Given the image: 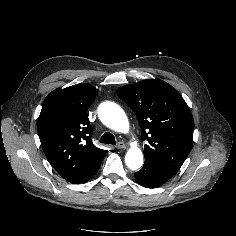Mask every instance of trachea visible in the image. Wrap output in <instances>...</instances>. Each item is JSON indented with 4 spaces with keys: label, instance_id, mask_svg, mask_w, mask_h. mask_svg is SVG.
<instances>
[{
    "label": "trachea",
    "instance_id": "obj_1",
    "mask_svg": "<svg viewBox=\"0 0 236 236\" xmlns=\"http://www.w3.org/2000/svg\"><path fill=\"white\" fill-rule=\"evenodd\" d=\"M100 142L105 143V144H112V145L116 144L115 137L110 132L104 133L102 137L100 138Z\"/></svg>",
    "mask_w": 236,
    "mask_h": 236
}]
</instances>
